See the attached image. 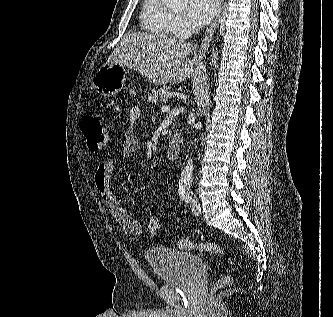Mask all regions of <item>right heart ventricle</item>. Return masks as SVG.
Segmentation results:
<instances>
[{"label":"right heart ventricle","instance_id":"e07e8e85","mask_svg":"<svg viewBox=\"0 0 333 317\" xmlns=\"http://www.w3.org/2000/svg\"><path fill=\"white\" fill-rule=\"evenodd\" d=\"M175 20L163 0H142L140 22L145 31L164 38L176 37Z\"/></svg>","mask_w":333,"mask_h":317}]
</instances>
